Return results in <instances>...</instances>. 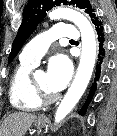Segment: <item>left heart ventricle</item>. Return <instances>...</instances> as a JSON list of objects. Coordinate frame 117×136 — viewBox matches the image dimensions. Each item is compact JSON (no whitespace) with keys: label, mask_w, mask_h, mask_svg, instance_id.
Listing matches in <instances>:
<instances>
[{"label":"left heart ventricle","mask_w":117,"mask_h":136,"mask_svg":"<svg viewBox=\"0 0 117 136\" xmlns=\"http://www.w3.org/2000/svg\"><path fill=\"white\" fill-rule=\"evenodd\" d=\"M36 82L39 85V87L47 94L52 95L55 94L56 92L53 91L47 80V73L45 72H40L35 76Z\"/></svg>","instance_id":"b2bd125f"}]
</instances>
